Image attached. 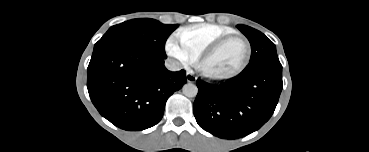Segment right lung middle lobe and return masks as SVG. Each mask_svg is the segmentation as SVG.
Instances as JSON below:
<instances>
[{
  "instance_id": "dd1d6c3e",
  "label": "right lung middle lobe",
  "mask_w": 369,
  "mask_h": 152,
  "mask_svg": "<svg viewBox=\"0 0 369 152\" xmlns=\"http://www.w3.org/2000/svg\"><path fill=\"white\" fill-rule=\"evenodd\" d=\"M177 27L149 18L129 20L112 26L94 45L93 53L117 44H132L166 58L165 42Z\"/></svg>"
}]
</instances>
